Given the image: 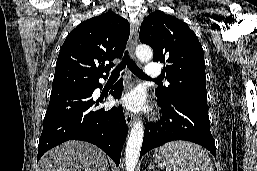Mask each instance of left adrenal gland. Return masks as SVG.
Masks as SVG:
<instances>
[{
  "instance_id": "obj_1",
  "label": "left adrenal gland",
  "mask_w": 257,
  "mask_h": 171,
  "mask_svg": "<svg viewBox=\"0 0 257 171\" xmlns=\"http://www.w3.org/2000/svg\"><path fill=\"white\" fill-rule=\"evenodd\" d=\"M148 169H149V170L153 169L154 171H156L155 166H154V165H152V164H150V165L148 166Z\"/></svg>"
}]
</instances>
